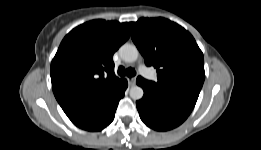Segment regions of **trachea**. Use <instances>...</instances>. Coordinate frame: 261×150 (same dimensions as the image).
Masks as SVG:
<instances>
[{
  "instance_id": "3493384b",
  "label": "trachea",
  "mask_w": 261,
  "mask_h": 150,
  "mask_svg": "<svg viewBox=\"0 0 261 150\" xmlns=\"http://www.w3.org/2000/svg\"><path fill=\"white\" fill-rule=\"evenodd\" d=\"M118 75H120V76H125V75H127L128 77H133V76H135L136 75V71H135V69H133V68H127V69H125V67H123V66H120L119 68H118Z\"/></svg>"
}]
</instances>
